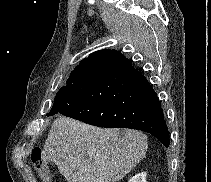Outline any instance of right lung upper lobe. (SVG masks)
I'll list each match as a JSON object with an SVG mask.
<instances>
[{
    "instance_id": "right-lung-upper-lobe-1",
    "label": "right lung upper lobe",
    "mask_w": 211,
    "mask_h": 182,
    "mask_svg": "<svg viewBox=\"0 0 211 182\" xmlns=\"http://www.w3.org/2000/svg\"><path fill=\"white\" fill-rule=\"evenodd\" d=\"M87 59H88V58L83 59V60L80 62V64L78 65V67H82V68H84V66H85V64H86ZM76 67H77V66H76Z\"/></svg>"
}]
</instances>
